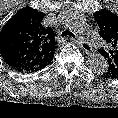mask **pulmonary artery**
<instances>
[{"label":"pulmonary artery","instance_id":"obj_1","mask_svg":"<svg viewBox=\"0 0 118 118\" xmlns=\"http://www.w3.org/2000/svg\"><path fill=\"white\" fill-rule=\"evenodd\" d=\"M98 43H99L98 39L93 42V44L96 46L98 45Z\"/></svg>","mask_w":118,"mask_h":118}]
</instances>
